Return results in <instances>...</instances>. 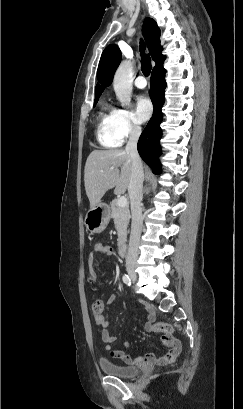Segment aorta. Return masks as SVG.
<instances>
[{
	"mask_svg": "<svg viewBox=\"0 0 243 409\" xmlns=\"http://www.w3.org/2000/svg\"><path fill=\"white\" fill-rule=\"evenodd\" d=\"M132 65L128 61H123L115 72L113 87L117 99L122 106L131 103L132 95Z\"/></svg>",
	"mask_w": 243,
	"mask_h": 409,
	"instance_id": "762f6f07",
	"label": "aorta"
}]
</instances>
